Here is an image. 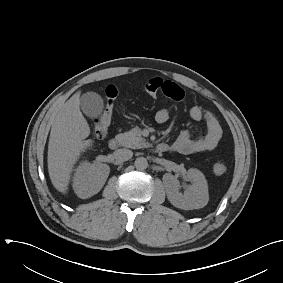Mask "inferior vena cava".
Listing matches in <instances>:
<instances>
[{"instance_id": "inferior-vena-cava-1", "label": "inferior vena cava", "mask_w": 283, "mask_h": 283, "mask_svg": "<svg viewBox=\"0 0 283 283\" xmlns=\"http://www.w3.org/2000/svg\"><path fill=\"white\" fill-rule=\"evenodd\" d=\"M133 156V152L129 149H118L114 152V157L119 162L128 161Z\"/></svg>"}]
</instances>
